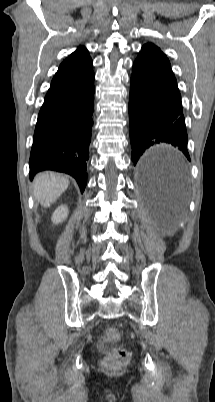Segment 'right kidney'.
Segmentation results:
<instances>
[{
  "label": "right kidney",
  "instance_id": "right-kidney-1",
  "mask_svg": "<svg viewBox=\"0 0 215 402\" xmlns=\"http://www.w3.org/2000/svg\"><path fill=\"white\" fill-rule=\"evenodd\" d=\"M68 216V208L65 205L59 206L52 215V222L55 224L61 223Z\"/></svg>",
  "mask_w": 215,
  "mask_h": 402
}]
</instances>
